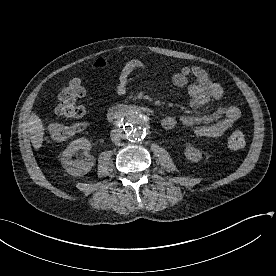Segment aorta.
I'll return each mask as SVG.
<instances>
[{
  "mask_svg": "<svg viewBox=\"0 0 276 276\" xmlns=\"http://www.w3.org/2000/svg\"><path fill=\"white\" fill-rule=\"evenodd\" d=\"M120 129L125 138L130 141H140L146 136L145 116L136 109L125 112L120 120Z\"/></svg>",
  "mask_w": 276,
  "mask_h": 276,
  "instance_id": "aorta-1",
  "label": "aorta"
}]
</instances>
